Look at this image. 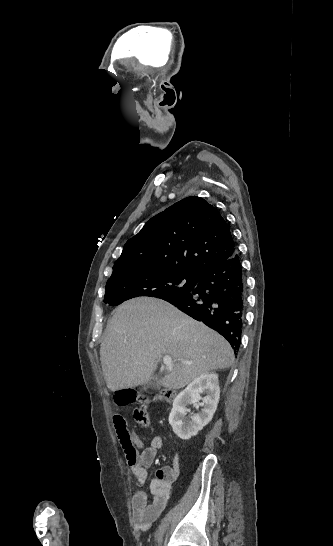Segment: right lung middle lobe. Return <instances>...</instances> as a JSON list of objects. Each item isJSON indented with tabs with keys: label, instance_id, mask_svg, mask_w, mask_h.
I'll return each instance as SVG.
<instances>
[{
	"label": "right lung middle lobe",
	"instance_id": "obj_1",
	"mask_svg": "<svg viewBox=\"0 0 333 546\" xmlns=\"http://www.w3.org/2000/svg\"><path fill=\"white\" fill-rule=\"evenodd\" d=\"M198 276L169 271L144 270L137 267H121L113 270L106 284L104 302L119 305L139 296L162 298L191 291Z\"/></svg>",
	"mask_w": 333,
	"mask_h": 546
}]
</instances>
